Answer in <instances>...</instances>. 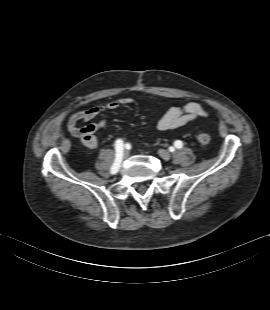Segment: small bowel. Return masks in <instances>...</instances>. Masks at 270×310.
<instances>
[{"label":"small bowel","instance_id":"small-bowel-1","mask_svg":"<svg viewBox=\"0 0 270 310\" xmlns=\"http://www.w3.org/2000/svg\"><path fill=\"white\" fill-rule=\"evenodd\" d=\"M134 100L130 97H123L118 100L110 101L104 104L91 106L89 108L77 111L71 114L67 120L69 133L79 139L84 146L89 149H95L98 145L96 132L107 125V119L88 123L98 115L106 111H114L121 106L130 105ZM207 116V110L199 102H189L182 107H171L157 122V128L160 131L174 130L198 119ZM80 123H88L79 126Z\"/></svg>","mask_w":270,"mask_h":310}]
</instances>
